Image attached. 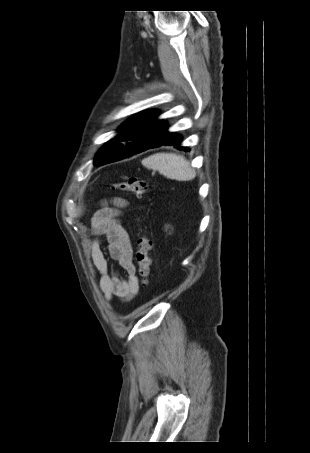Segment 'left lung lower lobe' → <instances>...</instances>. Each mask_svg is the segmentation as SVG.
<instances>
[{"mask_svg":"<svg viewBox=\"0 0 310 453\" xmlns=\"http://www.w3.org/2000/svg\"><path fill=\"white\" fill-rule=\"evenodd\" d=\"M181 142H182V137L179 134H176L173 132H171V133L168 132L167 135L163 139L148 145L147 147L142 149L140 152L145 151L147 149L160 147L162 145H169V146H174L180 150H187L188 149L187 147H180Z\"/></svg>","mask_w":310,"mask_h":453,"instance_id":"left-lung-lower-lobe-1","label":"left lung lower lobe"}]
</instances>
